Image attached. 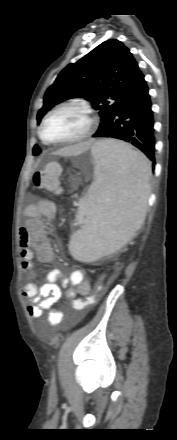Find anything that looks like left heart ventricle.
Returning a JSON list of instances; mask_svg holds the SVG:
<instances>
[{"label": "left heart ventricle", "instance_id": "obj_1", "mask_svg": "<svg viewBox=\"0 0 177 440\" xmlns=\"http://www.w3.org/2000/svg\"><path fill=\"white\" fill-rule=\"evenodd\" d=\"M87 127L85 116L75 110L53 114L45 124L43 135L49 141H60L80 135Z\"/></svg>", "mask_w": 177, "mask_h": 440}]
</instances>
